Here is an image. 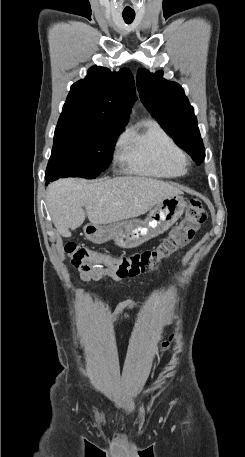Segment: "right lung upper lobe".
<instances>
[{
	"label": "right lung upper lobe",
	"instance_id": "obj_1",
	"mask_svg": "<svg viewBox=\"0 0 245 457\" xmlns=\"http://www.w3.org/2000/svg\"><path fill=\"white\" fill-rule=\"evenodd\" d=\"M135 101L134 80L123 68L111 72L101 66L71 86L61 116L127 123Z\"/></svg>",
	"mask_w": 245,
	"mask_h": 457
}]
</instances>
